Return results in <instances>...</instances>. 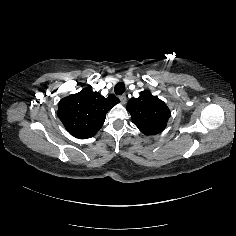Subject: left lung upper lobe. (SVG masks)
<instances>
[{
    "instance_id": "obj_1",
    "label": "left lung upper lobe",
    "mask_w": 236,
    "mask_h": 236,
    "mask_svg": "<svg viewBox=\"0 0 236 236\" xmlns=\"http://www.w3.org/2000/svg\"><path fill=\"white\" fill-rule=\"evenodd\" d=\"M126 108L133 123L145 135L162 132L170 117L167 105L147 90L141 92L138 98L130 99Z\"/></svg>"
}]
</instances>
